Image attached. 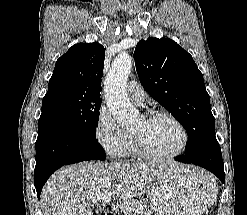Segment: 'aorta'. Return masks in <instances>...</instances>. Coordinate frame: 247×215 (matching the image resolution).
I'll list each match as a JSON object with an SVG mask.
<instances>
[{"instance_id": "762f6f07", "label": "aorta", "mask_w": 247, "mask_h": 215, "mask_svg": "<svg viewBox=\"0 0 247 215\" xmlns=\"http://www.w3.org/2000/svg\"><path fill=\"white\" fill-rule=\"evenodd\" d=\"M131 68L132 58L127 53L119 54L114 59L104 82L108 110L123 128L135 125L139 118V112L130 103L126 91Z\"/></svg>"}]
</instances>
